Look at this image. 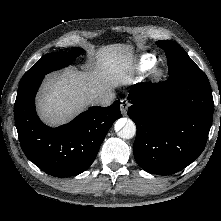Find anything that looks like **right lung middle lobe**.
<instances>
[{"label":"right lung middle lobe","instance_id":"obj_1","mask_svg":"<svg viewBox=\"0 0 221 221\" xmlns=\"http://www.w3.org/2000/svg\"><path fill=\"white\" fill-rule=\"evenodd\" d=\"M83 52L82 48H73L69 52H55L43 56L31 69L22 77L20 84L44 76L51 71L68 66L73 58Z\"/></svg>","mask_w":221,"mask_h":221}]
</instances>
